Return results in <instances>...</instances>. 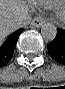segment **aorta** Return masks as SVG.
Wrapping results in <instances>:
<instances>
[{"label":"aorta","instance_id":"1","mask_svg":"<svg viewBox=\"0 0 65 89\" xmlns=\"http://www.w3.org/2000/svg\"><path fill=\"white\" fill-rule=\"evenodd\" d=\"M57 29L54 24L46 23L41 28V35L45 41H52L56 37Z\"/></svg>","mask_w":65,"mask_h":89}]
</instances>
